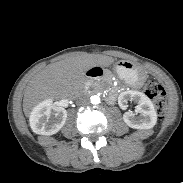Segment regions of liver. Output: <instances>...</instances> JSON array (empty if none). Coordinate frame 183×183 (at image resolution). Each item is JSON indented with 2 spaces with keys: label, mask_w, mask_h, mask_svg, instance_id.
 I'll return each instance as SVG.
<instances>
[{
  "label": "liver",
  "mask_w": 183,
  "mask_h": 183,
  "mask_svg": "<svg viewBox=\"0 0 183 183\" xmlns=\"http://www.w3.org/2000/svg\"><path fill=\"white\" fill-rule=\"evenodd\" d=\"M114 59L104 55L80 54L46 66L29 81L23 99L24 113L29 116L41 101L62 98L72 88L82 87L85 73L95 66L107 67Z\"/></svg>",
  "instance_id": "liver-1"
}]
</instances>
